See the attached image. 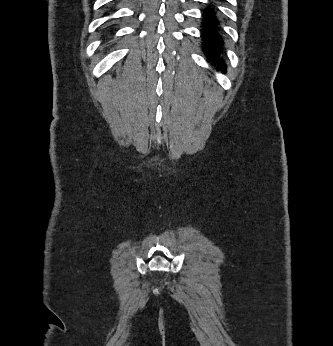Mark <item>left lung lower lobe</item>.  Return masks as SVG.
Wrapping results in <instances>:
<instances>
[{
  "label": "left lung lower lobe",
  "mask_w": 333,
  "mask_h": 346,
  "mask_svg": "<svg viewBox=\"0 0 333 346\" xmlns=\"http://www.w3.org/2000/svg\"><path fill=\"white\" fill-rule=\"evenodd\" d=\"M201 20L202 50L207 58L217 64L226 72V64L223 59V36L220 26L218 9L209 4L203 10Z\"/></svg>",
  "instance_id": "obj_1"
}]
</instances>
